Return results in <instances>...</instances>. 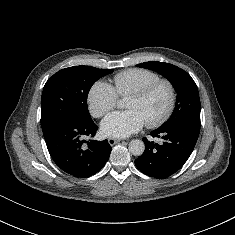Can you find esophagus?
I'll return each instance as SVG.
<instances>
[{
	"label": "esophagus",
	"instance_id": "1",
	"mask_svg": "<svg viewBox=\"0 0 235 235\" xmlns=\"http://www.w3.org/2000/svg\"><path fill=\"white\" fill-rule=\"evenodd\" d=\"M121 140L120 139H115V138H108V143L111 145V146H113V145H115V144H117V143H119Z\"/></svg>",
	"mask_w": 235,
	"mask_h": 235
}]
</instances>
